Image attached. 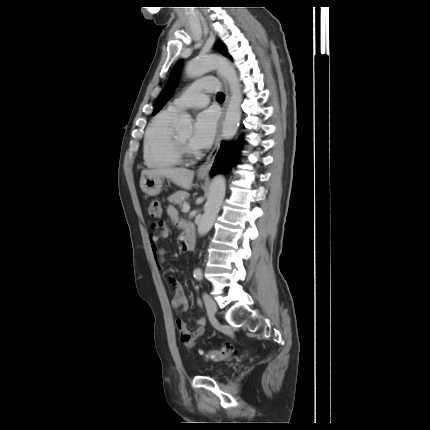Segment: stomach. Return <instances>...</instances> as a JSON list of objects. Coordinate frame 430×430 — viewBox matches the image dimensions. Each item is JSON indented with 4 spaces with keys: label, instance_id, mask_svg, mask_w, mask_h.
<instances>
[{
    "label": "stomach",
    "instance_id": "0dacf381",
    "mask_svg": "<svg viewBox=\"0 0 430 430\" xmlns=\"http://www.w3.org/2000/svg\"><path fill=\"white\" fill-rule=\"evenodd\" d=\"M200 178L204 177L200 176ZM163 180L164 177L159 175H143L140 179V188L145 194L156 196L161 192Z\"/></svg>",
    "mask_w": 430,
    "mask_h": 430
}]
</instances>
